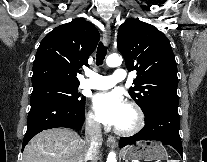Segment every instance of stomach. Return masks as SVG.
Returning <instances> with one entry per match:
<instances>
[{"instance_id":"1","label":"stomach","mask_w":207,"mask_h":162,"mask_svg":"<svg viewBox=\"0 0 207 162\" xmlns=\"http://www.w3.org/2000/svg\"><path fill=\"white\" fill-rule=\"evenodd\" d=\"M125 162H133L134 160H143L146 162L154 160H166L168 154L161 143L152 141H140L134 145L128 146L121 152Z\"/></svg>"}]
</instances>
